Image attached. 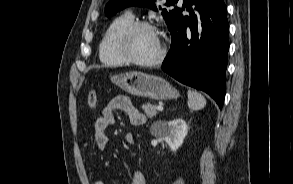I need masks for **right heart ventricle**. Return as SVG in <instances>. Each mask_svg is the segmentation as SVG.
<instances>
[{
	"label": "right heart ventricle",
	"mask_w": 293,
	"mask_h": 184,
	"mask_svg": "<svg viewBox=\"0 0 293 184\" xmlns=\"http://www.w3.org/2000/svg\"><path fill=\"white\" fill-rule=\"evenodd\" d=\"M133 21V16L125 13L109 24L99 44V58L103 64L116 67L126 63L117 51L116 42L120 32Z\"/></svg>",
	"instance_id": "e07e8e85"
}]
</instances>
